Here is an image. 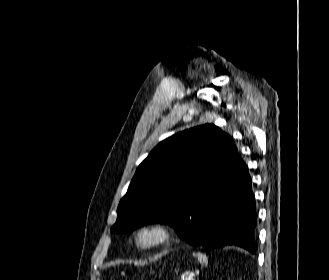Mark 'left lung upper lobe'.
I'll list each match as a JSON object with an SVG mask.
<instances>
[{
    "label": "left lung upper lobe",
    "mask_w": 329,
    "mask_h": 280,
    "mask_svg": "<svg viewBox=\"0 0 329 280\" xmlns=\"http://www.w3.org/2000/svg\"><path fill=\"white\" fill-rule=\"evenodd\" d=\"M237 153L233 140L213 124L162 141L137 168L111 232L132 231L148 221L176 229L195 219L201 202L226 185Z\"/></svg>",
    "instance_id": "1"
}]
</instances>
